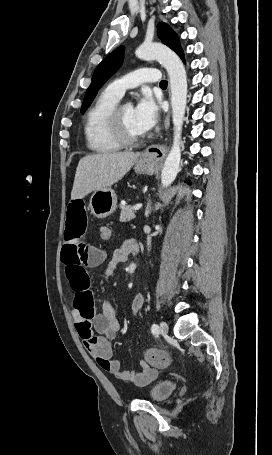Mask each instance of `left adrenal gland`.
<instances>
[{
    "instance_id": "a2214340",
    "label": "left adrenal gland",
    "mask_w": 272,
    "mask_h": 455,
    "mask_svg": "<svg viewBox=\"0 0 272 455\" xmlns=\"http://www.w3.org/2000/svg\"><path fill=\"white\" fill-rule=\"evenodd\" d=\"M150 209H151V208H150V204H148L147 207H146V212H145L146 216H149V214H150Z\"/></svg>"
}]
</instances>
